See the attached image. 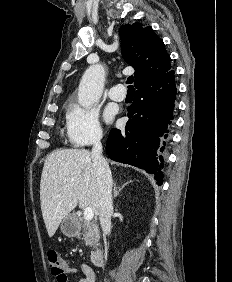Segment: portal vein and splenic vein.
Returning a JSON list of instances; mask_svg holds the SVG:
<instances>
[{
	"mask_svg": "<svg viewBox=\"0 0 232 282\" xmlns=\"http://www.w3.org/2000/svg\"><path fill=\"white\" fill-rule=\"evenodd\" d=\"M94 217V211L91 207H86L84 209V219L86 221H91Z\"/></svg>",
	"mask_w": 232,
	"mask_h": 282,
	"instance_id": "1",
	"label": "portal vein and splenic vein"
}]
</instances>
